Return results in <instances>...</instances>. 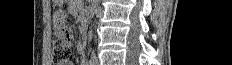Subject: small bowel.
<instances>
[{
	"label": "small bowel",
	"instance_id": "c3829d8e",
	"mask_svg": "<svg viewBox=\"0 0 232 65\" xmlns=\"http://www.w3.org/2000/svg\"><path fill=\"white\" fill-rule=\"evenodd\" d=\"M56 23V36L57 37H68V40H75V35L73 32H69V26H67L66 16L64 12H55ZM62 65H72L71 63H64Z\"/></svg>",
	"mask_w": 232,
	"mask_h": 65
}]
</instances>
